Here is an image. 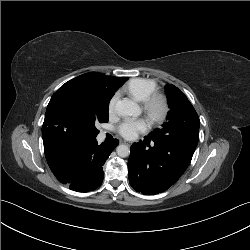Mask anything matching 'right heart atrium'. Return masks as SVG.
I'll return each instance as SVG.
<instances>
[{
    "mask_svg": "<svg viewBox=\"0 0 250 250\" xmlns=\"http://www.w3.org/2000/svg\"><path fill=\"white\" fill-rule=\"evenodd\" d=\"M117 101H118V94L116 93L109 100V103H108V112H109V114H114L115 113Z\"/></svg>",
    "mask_w": 250,
    "mask_h": 250,
    "instance_id": "1",
    "label": "right heart atrium"
}]
</instances>
